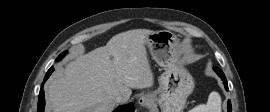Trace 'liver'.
Masks as SVG:
<instances>
[{"label":"liver","instance_id":"liver-1","mask_svg":"<svg viewBox=\"0 0 270 112\" xmlns=\"http://www.w3.org/2000/svg\"><path fill=\"white\" fill-rule=\"evenodd\" d=\"M153 31L133 29L76 59L46 86L47 112H112L115 96L130 98L133 88L154 84L146 38Z\"/></svg>","mask_w":270,"mask_h":112}]
</instances>
